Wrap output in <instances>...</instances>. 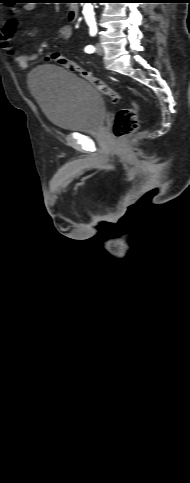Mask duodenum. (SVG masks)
Returning a JSON list of instances; mask_svg holds the SVG:
<instances>
[{"label": "duodenum", "instance_id": "410a0bca", "mask_svg": "<svg viewBox=\"0 0 190 483\" xmlns=\"http://www.w3.org/2000/svg\"><path fill=\"white\" fill-rule=\"evenodd\" d=\"M79 15V6L76 2H72L68 7V18L71 21H75Z\"/></svg>", "mask_w": 190, "mask_h": 483}]
</instances>
